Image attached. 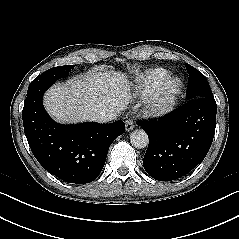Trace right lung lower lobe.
I'll return each instance as SVG.
<instances>
[{
	"instance_id": "obj_1",
	"label": "right lung lower lobe",
	"mask_w": 239,
	"mask_h": 239,
	"mask_svg": "<svg viewBox=\"0 0 239 239\" xmlns=\"http://www.w3.org/2000/svg\"><path fill=\"white\" fill-rule=\"evenodd\" d=\"M51 85L27 91L22 119L29 146L42 167L56 177L68 183L92 182L104 167L109 146L124 133L125 124L121 120L110 124L54 122L42 103Z\"/></svg>"
}]
</instances>
